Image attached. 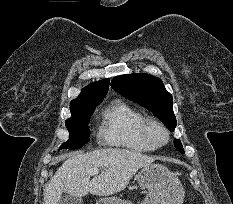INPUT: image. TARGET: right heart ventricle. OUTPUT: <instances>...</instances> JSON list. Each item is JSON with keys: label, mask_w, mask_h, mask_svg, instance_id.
<instances>
[{"label": "right heart ventricle", "mask_w": 233, "mask_h": 204, "mask_svg": "<svg viewBox=\"0 0 233 204\" xmlns=\"http://www.w3.org/2000/svg\"><path fill=\"white\" fill-rule=\"evenodd\" d=\"M145 116L128 103L115 100L100 114L98 137L104 145L126 148L135 152L153 151L142 137L140 126Z\"/></svg>", "instance_id": "1"}]
</instances>
